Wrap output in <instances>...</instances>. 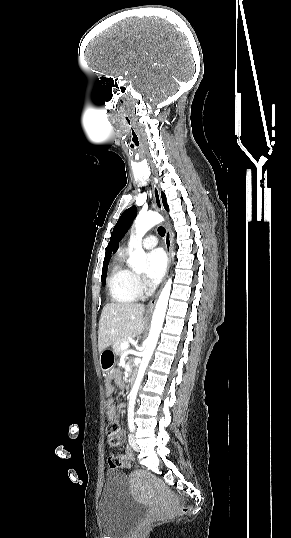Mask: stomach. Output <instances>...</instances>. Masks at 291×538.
Wrapping results in <instances>:
<instances>
[{
	"label": "stomach",
	"instance_id": "obj_1",
	"mask_svg": "<svg viewBox=\"0 0 291 538\" xmlns=\"http://www.w3.org/2000/svg\"><path fill=\"white\" fill-rule=\"evenodd\" d=\"M116 357L117 354L115 353L113 347H107L100 352V366L102 372L107 373L113 368L116 362Z\"/></svg>",
	"mask_w": 291,
	"mask_h": 538
}]
</instances>
